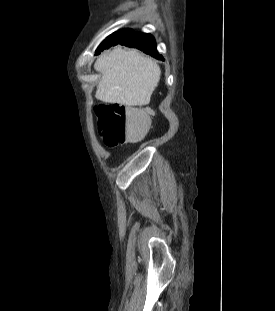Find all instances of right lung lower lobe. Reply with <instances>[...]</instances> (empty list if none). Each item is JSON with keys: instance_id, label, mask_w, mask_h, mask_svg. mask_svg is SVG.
Segmentation results:
<instances>
[{"instance_id": "1", "label": "right lung lower lobe", "mask_w": 275, "mask_h": 311, "mask_svg": "<svg viewBox=\"0 0 275 311\" xmlns=\"http://www.w3.org/2000/svg\"><path fill=\"white\" fill-rule=\"evenodd\" d=\"M120 45L137 48L156 59L164 60L157 52L156 42L150 34L134 32L132 36L121 42Z\"/></svg>"}]
</instances>
